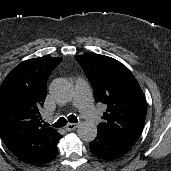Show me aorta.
Masks as SVG:
<instances>
[{
    "label": "aorta",
    "mask_w": 171,
    "mask_h": 171,
    "mask_svg": "<svg viewBox=\"0 0 171 171\" xmlns=\"http://www.w3.org/2000/svg\"><path fill=\"white\" fill-rule=\"evenodd\" d=\"M50 93L56 101L68 102L72 97V88L66 80H55L50 86ZM97 132V126L87 121L80 123L77 129L79 138L86 142L93 141Z\"/></svg>",
    "instance_id": "obj_1"
}]
</instances>
